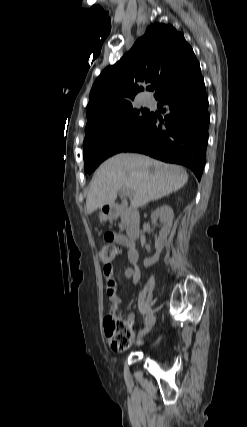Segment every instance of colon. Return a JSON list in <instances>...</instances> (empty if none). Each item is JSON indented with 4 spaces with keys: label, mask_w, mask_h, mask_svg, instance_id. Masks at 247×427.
<instances>
[{
    "label": "colon",
    "mask_w": 247,
    "mask_h": 427,
    "mask_svg": "<svg viewBox=\"0 0 247 427\" xmlns=\"http://www.w3.org/2000/svg\"><path fill=\"white\" fill-rule=\"evenodd\" d=\"M117 252V248L112 243L109 245L104 244L100 247L98 256L101 262L108 265ZM104 327L109 343L114 350L122 351L131 345L133 333L129 323L118 319L114 314L110 313L104 319Z\"/></svg>",
    "instance_id": "5ec220e1"
}]
</instances>
